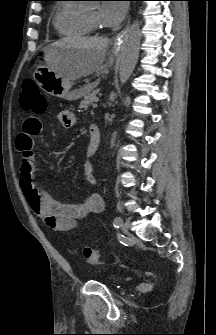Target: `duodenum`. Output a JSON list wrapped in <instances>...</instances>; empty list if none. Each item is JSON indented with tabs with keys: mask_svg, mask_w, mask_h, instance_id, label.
I'll list each match as a JSON object with an SVG mask.
<instances>
[{
	"mask_svg": "<svg viewBox=\"0 0 216 335\" xmlns=\"http://www.w3.org/2000/svg\"><path fill=\"white\" fill-rule=\"evenodd\" d=\"M90 138L94 141H98L100 138L99 129L96 124H91L89 127Z\"/></svg>",
	"mask_w": 216,
	"mask_h": 335,
	"instance_id": "duodenum-1",
	"label": "duodenum"
}]
</instances>
